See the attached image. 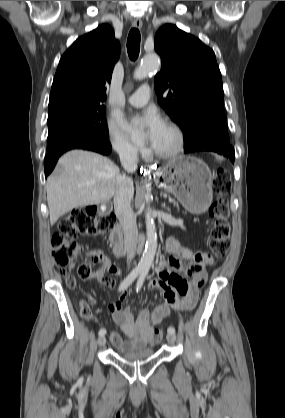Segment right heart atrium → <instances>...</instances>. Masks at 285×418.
I'll use <instances>...</instances> for the list:
<instances>
[{
	"mask_svg": "<svg viewBox=\"0 0 285 418\" xmlns=\"http://www.w3.org/2000/svg\"><path fill=\"white\" fill-rule=\"evenodd\" d=\"M107 138L110 147L121 158H135L140 152V148L129 140L121 128L115 126L109 127Z\"/></svg>",
	"mask_w": 285,
	"mask_h": 418,
	"instance_id": "d8ad5b80",
	"label": "right heart atrium"
}]
</instances>
